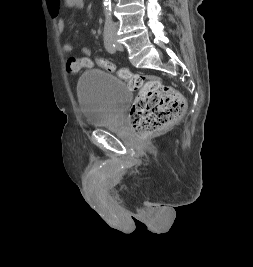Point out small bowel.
Here are the masks:
<instances>
[{
	"label": "small bowel",
	"instance_id": "obj_1",
	"mask_svg": "<svg viewBox=\"0 0 253 267\" xmlns=\"http://www.w3.org/2000/svg\"><path fill=\"white\" fill-rule=\"evenodd\" d=\"M61 1H63L65 7L70 9H82L85 5V0H46L50 14L57 21V30L60 36H62L65 32V22L60 9ZM73 49V45L69 42H65L62 46V50L65 53H71Z\"/></svg>",
	"mask_w": 253,
	"mask_h": 267
}]
</instances>
